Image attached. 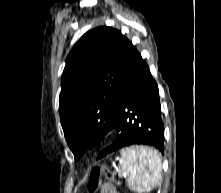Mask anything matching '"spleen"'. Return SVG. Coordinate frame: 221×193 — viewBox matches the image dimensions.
I'll use <instances>...</instances> for the list:
<instances>
[{"instance_id":"1","label":"spleen","mask_w":221,"mask_h":193,"mask_svg":"<svg viewBox=\"0 0 221 193\" xmlns=\"http://www.w3.org/2000/svg\"><path fill=\"white\" fill-rule=\"evenodd\" d=\"M119 159L120 175L130 190L150 192L161 179L162 161L158 152L143 146H123Z\"/></svg>"}]
</instances>
